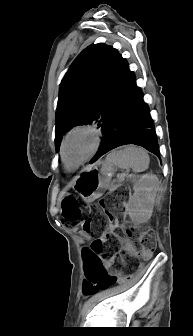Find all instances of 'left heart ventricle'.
I'll return each mask as SVG.
<instances>
[{"label":"left heart ventricle","mask_w":193,"mask_h":336,"mask_svg":"<svg viewBox=\"0 0 193 336\" xmlns=\"http://www.w3.org/2000/svg\"><path fill=\"white\" fill-rule=\"evenodd\" d=\"M93 147V137L87 132L73 134L66 143L65 156L67 162L74 166L82 161Z\"/></svg>","instance_id":"obj_1"}]
</instances>
